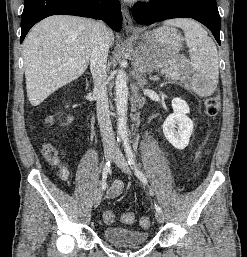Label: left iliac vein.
<instances>
[{"instance_id":"1","label":"left iliac vein","mask_w":247,"mask_h":257,"mask_svg":"<svg viewBox=\"0 0 247 257\" xmlns=\"http://www.w3.org/2000/svg\"><path fill=\"white\" fill-rule=\"evenodd\" d=\"M114 162L115 164L126 174H131L129 166L127 164V161L124 157V155L122 154L121 150L117 149L115 154H114ZM155 217L157 219V221L159 223H163L164 222V214L162 213V211H157L155 213Z\"/></svg>"}]
</instances>
